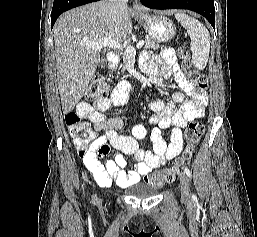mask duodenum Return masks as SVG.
I'll use <instances>...</instances> for the list:
<instances>
[{"label": "duodenum", "mask_w": 257, "mask_h": 237, "mask_svg": "<svg viewBox=\"0 0 257 237\" xmlns=\"http://www.w3.org/2000/svg\"><path fill=\"white\" fill-rule=\"evenodd\" d=\"M110 67H115L118 63V57L115 53H110L108 57Z\"/></svg>", "instance_id": "410a0bca"}]
</instances>
